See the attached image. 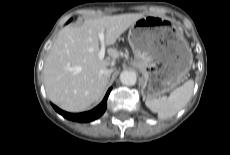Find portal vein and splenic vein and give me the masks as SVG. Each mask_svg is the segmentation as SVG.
Here are the masks:
<instances>
[{
    "instance_id": "18ae733b",
    "label": "portal vein and splenic vein",
    "mask_w": 230,
    "mask_h": 155,
    "mask_svg": "<svg viewBox=\"0 0 230 155\" xmlns=\"http://www.w3.org/2000/svg\"><path fill=\"white\" fill-rule=\"evenodd\" d=\"M99 39H100V42H101V49L99 51V54H98V58L100 60L104 59V56H105V52H106V45H105V35L103 32L99 33Z\"/></svg>"
}]
</instances>
